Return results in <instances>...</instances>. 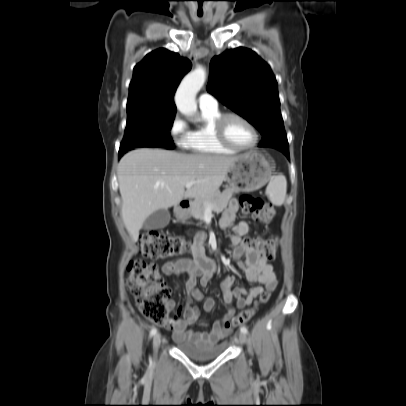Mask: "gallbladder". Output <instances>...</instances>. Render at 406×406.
Returning <instances> with one entry per match:
<instances>
[{"instance_id":"1","label":"gallbladder","mask_w":406,"mask_h":406,"mask_svg":"<svg viewBox=\"0 0 406 406\" xmlns=\"http://www.w3.org/2000/svg\"><path fill=\"white\" fill-rule=\"evenodd\" d=\"M170 212L167 209H159L152 213L144 222L143 228L146 230L150 229H161L169 224Z\"/></svg>"}]
</instances>
